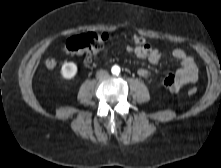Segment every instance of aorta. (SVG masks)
<instances>
[{
    "instance_id": "obj_1",
    "label": "aorta",
    "mask_w": 221,
    "mask_h": 168,
    "mask_svg": "<svg viewBox=\"0 0 221 168\" xmlns=\"http://www.w3.org/2000/svg\"><path fill=\"white\" fill-rule=\"evenodd\" d=\"M120 72V68L118 66H113L112 67V73L113 74H118Z\"/></svg>"
}]
</instances>
